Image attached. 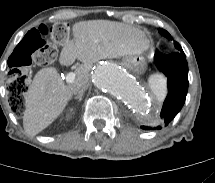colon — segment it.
Listing matches in <instances>:
<instances>
[{
  "instance_id": "1",
  "label": "colon",
  "mask_w": 215,
  "mask_h": 183,
  "mask_svg": "<svg viewBox=\"0 0 215 183\" xmlns=\"http://www.w3.org/2000/svg\"><path fill=\"white\" fill-rule=\"evenodd\" d=\"M69 28L59 22L50 27H35L19 40L9 58L8 90L9 103L16 114L25 110V94L29 87L27 66L35 63L48 66L56 58L57 50L50 44L54 40L66 41Z\"/></svg>"
}]
</instances>
